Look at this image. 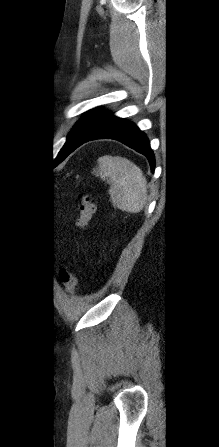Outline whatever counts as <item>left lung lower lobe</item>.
<instances>
[{
    "instance_id": "0a47b994",
    "label": "left lung lower lobe",
    "mask_w": 219,
    "mask_h": 447,
    "mask_svg": "<svg viewBox=\"0 0 219 447\" xmlns=\"http://www.w3.org/2000/svg\"><path fill=\"white\" fill-rule=\"evenodd\" d=\"M110 138L118 140L137 152L145 155L153 171L155 167V159L150 148L149 141L146 135L140 131L135 124L126 119L117 118L109 114L102 125L91 135L77 144H73L69 150L63 155L57 157V164L63 161L71 152L83 143L95 139Z\"/></svg>"
}]
</instances>
